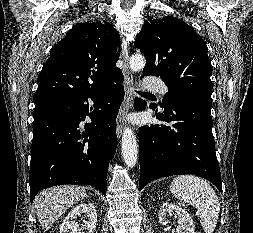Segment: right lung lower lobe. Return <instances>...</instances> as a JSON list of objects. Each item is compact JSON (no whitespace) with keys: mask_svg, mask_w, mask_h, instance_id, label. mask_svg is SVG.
<instances>
[{"mask_svg":"<svg viewBox=\"0 0 253 233\" xmlns=\"http://www.w3.org/2000/svg\"><path fill=\"white\" fill-rule=\"evenodd\" d=\"M122 82L121 73L103 88L35 103L31 202L40 190L61 184L92 185L106 195L108 165L117 146L116 117L124 98ZM86 116L92 122L83 128Z\"/></svg>","mask_w":253,"mask_h":233,"instance_id":"right-lung-lower-lobe-1","label":"right lung lower lobe"}]
</instances>
